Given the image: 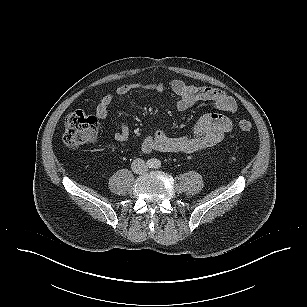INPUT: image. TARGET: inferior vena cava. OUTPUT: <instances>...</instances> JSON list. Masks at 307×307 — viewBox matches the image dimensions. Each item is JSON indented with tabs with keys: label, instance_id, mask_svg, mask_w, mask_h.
<instances>
[{
	"label": "inferior vena cava",
	"instance_id": "obj_1",
	"mask_svg": "<svg viewBox=\"0 0 307 307\" xmlns=\"http://www.w3.org/2000/svg\"><path fill=\"white\" fill-rule=\"evenodd\" d=\"M132 171L136 174H142L147 171V165L143 159L137 158L131 164Z\"/></svg>",
	"mask_w": 307,
	"mask_h": 307
}]
</instances>
